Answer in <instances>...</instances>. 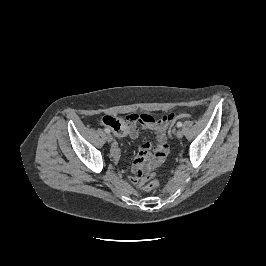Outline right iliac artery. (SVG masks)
<instances>
[{
  "mask_svg": "<svg viewBox=\"0 0 266 266\" xmlns=\"http://www.w3.org/2000/svg\"><path fill=\"white\" fill-rule=\"evenodd\" d=\"M104 131H105L106 133H110V129H109V128H105Z\"/></svg>",
  "mask_w": 266,
  "mask_h": 266,
  "instance_id": "82829eb1",
  "label": "right iliac artery"
}]
</instances>
